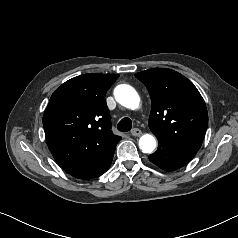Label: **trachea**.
<instances>
[{"label":"trachea","mask_w":238,"mask_h":238,"mask_svg":"<svg viewBox=\"0 0 238 238\" xmlns=\"http://www.w3.org/2000/svg\"><path fill=\"white\" fill-rule=\"evenodd\" d=\"M117 128L119 131L121 132H128L131 130L132 128V121L130 118L125 117L123 119L120 120V122L117 125Z\"/></svg>","instance_id":"obj_1"}]
</instances>
